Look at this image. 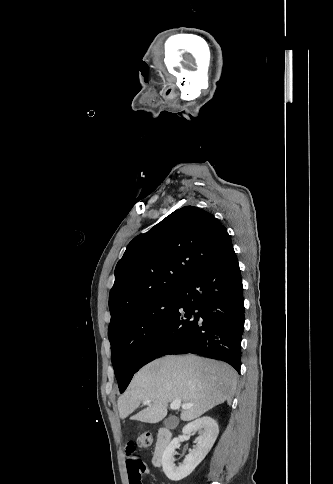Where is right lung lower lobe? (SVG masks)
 Returning <instances> with one entry per match:
<instances>
[{
  "label": "right lung lower lobe",
  "mask_w": 333,
  "mask_h": 484,
  "mask_svg": "<svg viewBox=\"0 0 333 484\" xmlns=\"http://www.w3.org/2000/svg\"><path fill=\"white\" fill-rule=\"evenodd\" d=\"M243 288L233 246L179 291L178 303L143 349L134 372L168 354H198L241 366Z\"/></svg>",
  "instance_id": "obj_1"
}]
</instances>
